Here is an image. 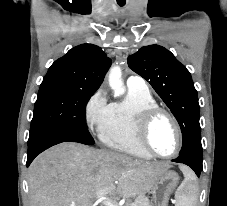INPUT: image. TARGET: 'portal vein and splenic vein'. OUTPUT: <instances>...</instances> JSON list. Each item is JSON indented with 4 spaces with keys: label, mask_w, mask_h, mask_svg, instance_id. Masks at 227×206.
Returning a JSON list of instances; mask_svg holds the SVG:
<instances>
[{
    "label": "portal vein and splenic vein",
    "mask_w": 227,
    "mask_h": 206,
    "mask_svg": "<svg viewBox=\"0 0 227 206\" xmlns=\"http://www.w3.org/2000/svg\"><path fill=\"white\" fill-rule=\"evenodd\" d=\"M106 193H107V189L98 191L96 195L97 199L102 201L105 206H117V204L114 201L104 197ZM70 206H76V205L75 203H71Z\"/></svg>",
    "instance_id": "portal-vein-and-splenic-vein-1"
}]
</instances>
